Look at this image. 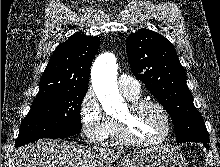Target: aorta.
Returning a JSON list of instances; mask_svg holds the SVG:
<instances>
[{"label":"aorta","instance_id":"1","mask_svg":"<svg viewBox=\"0 0 220 167\" xmlns=\"http://www.w3.org/2000/svg\"><path fill=\"white\" fill-rule=\"evenodd\" d=\"M117 69L116 58L111 53L100 55L92 67V85L106 114H114L124 107L117 85Z\"/></svg>","mask_w":220,"mask_h":167}]
</instances>
